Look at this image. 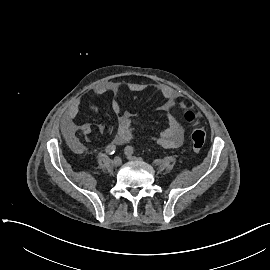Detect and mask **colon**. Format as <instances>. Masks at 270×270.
Wrapping results in <instances>:
<instances>
[{"label":"colon","instance_id":"5ec220e1","mask_svg":"<svg viewBox=\"0 0 270 270\" xmlns=\"http://www.w3.org/2000/svg\"><path fill=\"white\" fill-rule=\"evenodd\" d=\"M177 111L182 115L183 119L192 126V149L194 151H200L204 147L206 141V133L201 126L200 118L194 110L185 108L182 105L177 106Z\"/></svg>","mask_w":270,"mask_h":270}]
</instances>
